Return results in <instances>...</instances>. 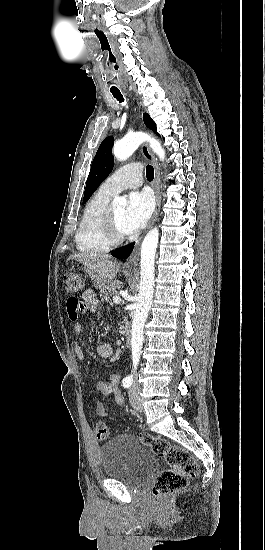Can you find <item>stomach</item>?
Returning <instances> with one entry per match:
<instances>
[{
    "label": "stomach",
    "mask_w": 265,
    "mask_h": 550,
    "mask_svg": "<svg viewBox=\"0 0 265 550\" xmlns=\"http://www.w3.org/2000/svg\"><path fill=\"white\" fill-rule=\"evenodd\" d=\"M83 269L85 272L89 273L95 278L96 284L99 288L104 289L106 286L110 284V282L102 280L99 277H97L88 267L85 266Z\"/></svg>",
    "instance_id": "1"
}]
</instances>
